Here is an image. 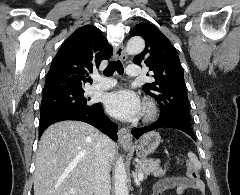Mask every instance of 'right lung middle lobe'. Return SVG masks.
<instances>
[{"instance_id":"right-lung-middle-lobe-1","label":"right lung middle lobe","mask_w":240,"mask_h":195,"mask_svg":"<svg viewBox=\"0 0 240 195\" xmlns=\"http://www.w3.org/2000/svg\"><path fill=\"white\" fill-rule=\"evenodd\" d=\"M84 97V89H71L43 95L41 113L60 108H94L99 103H90Z\"/></svg>"}]
</instances>
